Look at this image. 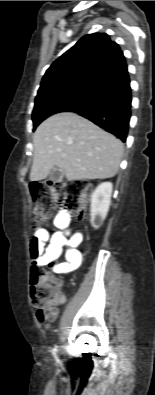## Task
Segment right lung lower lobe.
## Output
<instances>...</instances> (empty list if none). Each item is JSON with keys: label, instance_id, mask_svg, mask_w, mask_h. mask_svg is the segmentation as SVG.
<instances>
[{"label": "right lung lower lobe", "instance_id": "obj_1", "mask_svg": "<svg viewBox=\"0 0 155 395\" xmlns=\"http://www.w3.org/2000/svg\"><path fill=\"white\" fill-rule=\"evenodd\" d=\"M128 70L108 77L97 90L66 111L75 112L126 141L131 117Z\"/></svg>", "mask_w": 155, "mask_h": 395}]
</instances>
